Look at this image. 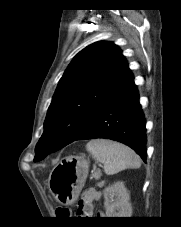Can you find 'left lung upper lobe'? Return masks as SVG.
<instances>
[{
    "label": "left lung upper lobe",
    "mask_w": 181,
    "mask_h": 227,
    "mask_svg": "<svg viewBox=\"0 0 181 227\" xmlns=\"http://www.w3.org/2000/svg\"><path fill=\"white\" fill-rule=\"evenodd\" d=\"M130 74L113 43L96 42L79 52L57 86L34 161L76 141L99 106Z\"/></svg>",
    "instance_id": "obj_1"
}]
</instances>
